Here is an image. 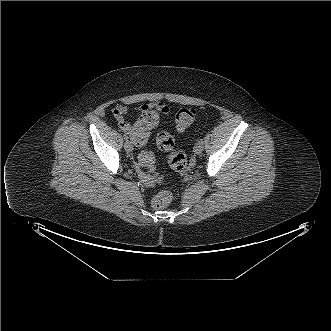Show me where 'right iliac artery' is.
I'll list each match as a JSON object with an SVG mask.
<instances>
[{
    "label": "right iliac artery",
    "mask_w": 331,
    "mask_h": 331,
    "mask_svg": "<svg viewBox=\"0 0 331 331\" xmlns=\"http://www.w3.org/2000/svg\"><path fill=\"white\" fill-rule=\"evenodd\" d=\"M123 136H124V139H125L126 141H128L129 137H128L126 134H124Z\"/></svg>",
    "instance_id": "1"
}]
</instances>
